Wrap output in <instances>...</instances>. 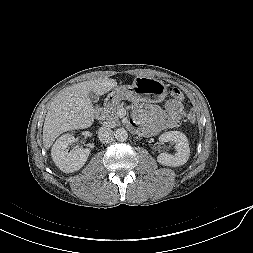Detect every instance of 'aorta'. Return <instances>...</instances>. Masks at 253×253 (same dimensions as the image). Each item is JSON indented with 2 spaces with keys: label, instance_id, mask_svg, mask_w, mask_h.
I'll list each match as a JSON object with an SVG mask.
<instances>
[{
  "label": "aorta",
  "instance_id": "obj_1",
  "mask_svg": "<svg viewBox=\"0 0 253 253\" xmlns=\"http://www.w3.org/2000/svg\"><path fill=\"white\" fill-rule=\"evenodd\" d=\"M115 138L118 141H125L128 138V133L124 128H118L115 131Z\"/></svg>",
  "mask_w": 253,
  "mask_h": 253
}]
</instances>
